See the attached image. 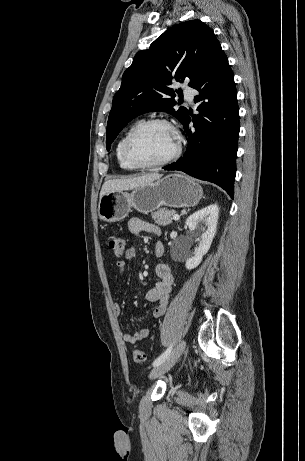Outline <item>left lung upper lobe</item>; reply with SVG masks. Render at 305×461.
<instances>
[{
    "mask_svg": "<svg viewBox=\"0 0 305 461\" xmlns=\"http://www.w3.org/2000/svg\"><path fill=\"white\" fill-rule=\"evenodd\" d=\"M221 45L213 30L200 20H190L166 30L148 50L136 54L124 72L120 89L113 98L107 123L106 147L129 121L146 112L164 111L185 119L184 107L175 109L172 80H190L194 87L214 64Z\"/></svg>",
    "mask_w": 305,
    "mask_h": 461,
    "instance_id": "obj_1",
    "label": "left lung upper lobe"
}]
</instances>
